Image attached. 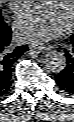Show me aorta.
Listing matches in <instances>:
<instances>
[{
  "mask_svg": "<svg viewBox=\"0 0 74 122\" xmlns=\"http://www.w3.org/2000/svg\"><path fill=\"white\" fill-rule=\"evenodd\" d=\"M43 63L47 71L60 73L66 67V57L62 52L52 50L44 55Z\"/></svg>",
  "mask_w": 74,
  "mask_h": 122,
  "instance_id": "aorta-1",
  "label": "aorta"
}]
</instances>
